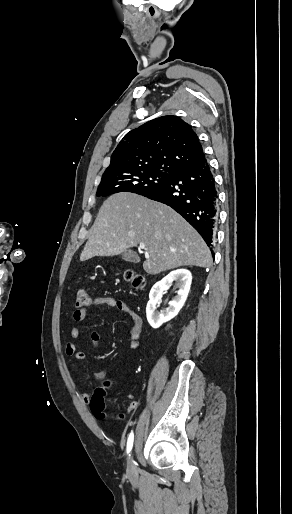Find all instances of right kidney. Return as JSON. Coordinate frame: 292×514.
<instances>
[{
	"mask_svg": "<svg viewBox=\"0 0 292 514\" xmlns=\"http://www.w3.org/2000/svg\"><path fill=\"white\" fill-rule=\"evenodd\" d=\"M172 282H177L176 286L179 288L178 292H176L177 296L169 302L168 308L158 312L157 304H161L163 292L169 290ZM191 282L192 276L189 270H174V272H170L168 276H165L161 282L154 284L152 290H150V300L146 308L147 320L152 328H160L164 322H169V320L177 316L187 300Z\"/></svg>",
	"mask_w": 292,
	"mask_h": 514,
	"instance_id": "ca27d5eb",
	"label": "right kidney"
}]
</instances>
